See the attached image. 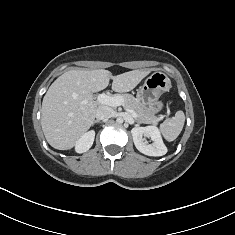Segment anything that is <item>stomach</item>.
Masks as SVG:
<instances>
[{"label": "stomach", "mask_w": 235, "mask_h": 235, "mask_svg": "<svg viewBox=\"0 0 235 235\" xmlns=\"http://www.w3.org/2000/svg\"><path fill=\"white\" fill-rule=\"evenodd\" d=\"M171 80L166 73L156 71L150 75L141 85L137 92V100L152 113H158L163 109L161 95L169 91Z\"/></svg>", "instance_id": "obj_1"}]
</instances>
